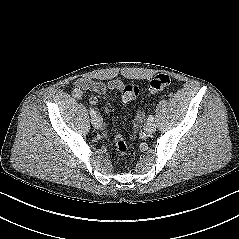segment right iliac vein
Instances as JSON below:
<instances>
[{
	"instance_id": "63e3f726",
	"label": "right iliac vein",
	"mask_w": 239,
	"mask_h": 239,
	"mask_svg": "<svg viewBox=\"0 0 239 239\" xmlns=\"http://www.w3.org/2000/svg\"><path fill=\"white\" fill-rule=\"evenodd\" d=\"M92 125L95 129H101L102 128V118L101 116L97 115L92 118Z\"/></svg>"
}]
</instances>
